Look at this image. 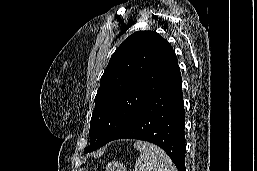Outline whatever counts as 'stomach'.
<instances>
[{
    "label": "stomach",
    "instance_id": "1",
    "mask_svg": "<svg viewBox=\"0 0 257 171\" xmlns=\"http://www.w3.org/2000/svg\"><path fill=\"white\" fill-rule=\"evenodd\" d=\"M106 171H127V169L123 163L112 161L108 163Z\"/></svg>",
    "mask_w": 257,
    "mask_h": 171
}]
</instances>
